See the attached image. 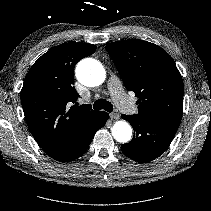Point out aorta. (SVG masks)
Segmentation results:
<instances>
[{"instance_id": "762f6f07", "label": "aorta", "mask_w": 211, "mask_h": 211, "mask_svg": "<svg viewBox=\"0 0 211 211\" xmlns=\"http://www.w3.org/2000/svg\"><path fill=\"white\" fill-rule=\"evenodd\" d=\"M76 77L78 81L89 87L99 86L106 77V72L102 64L91 58L81 60L76 67ZM112 135L120 143H126L131 139L132 128L125 121L116 122L112 129Z\"/></svg>"}]
</instances>
